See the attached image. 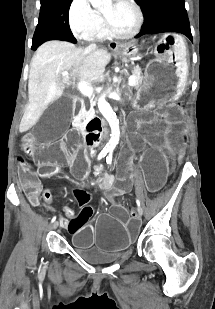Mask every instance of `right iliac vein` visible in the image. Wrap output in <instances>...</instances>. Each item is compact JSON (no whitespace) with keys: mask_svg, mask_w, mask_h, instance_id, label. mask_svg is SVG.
Wrapping results in <instances>:
<instances>
[{"mask_svg":"<svg viewBox=\"0 0 215 309\" xmlns=\"http://www.w3.org/2000/svg\"><path fill=\"white\" fill-rule=\"evenodd\" d=\"M58 227V221H55L54 223H53V225H52V228L53 229H56Z\"/></svg>","mask_w":215,"mask_h":309,"instance_id":"obj_1","label":"right iliac vein"}]
</instances>
